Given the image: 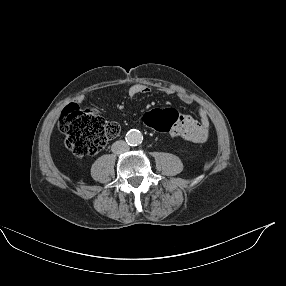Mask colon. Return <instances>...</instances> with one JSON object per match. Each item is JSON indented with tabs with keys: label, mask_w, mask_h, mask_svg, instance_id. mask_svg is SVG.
Masks as SVG:
<instances>
[{
	"label": "colon",
	"mask_w": 286,
	"mask_h": 286,
	"mask_svg": "<svg viewBox=\"0 0 286 286\" xmlns=\"http://www.w3.org/2000/svg\"><path fill=\"white\" fill-rule=\"evenodd\" d=\"M180 118L178 111L173 109L146 110L142 114L145 126L152 131L170 130ZM58 126L65 135L67 149L77 156L98 153L120 133L118 123L107 122L97 111L81 109L74 104L62 110Z\"/></svg>",
	"instance_id": "1"
}]
</instances>
